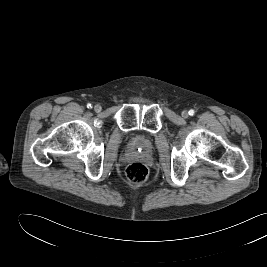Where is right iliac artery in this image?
<instances>
[{
    "mask_svg": "<svg viewBox=\"0 0 267 267\" xmlns=\"http://www.w3.org/2000/svg\"><path fill=\"white\" fill-rule=\"evenodd\" d=\"M87 108H92V105L90 103H88Z\"/></svg>",
    "mask_w": 267,
    "mask_h": 267,
    "instance_id": "right-iliac-artery-1",
    "label": "right iliac artery"
}]
</instances>
